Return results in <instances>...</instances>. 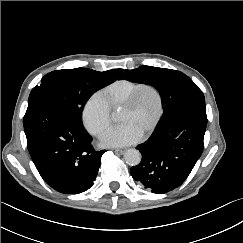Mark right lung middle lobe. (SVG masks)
<instances>
[{
	"label": "right lung middle lobe",
	"instance_id": "obj_1",
	"mask_svg": "<svg viewBox=\"0 0 243 243\" xmlns=\"http://www.w3.org/2000/svg\"><path fill=\"white\" fill-rule=\"evenodd\" d=\"M114 81L111 75L87 68L53 71L46 74L41 84L32 89L28 103H53L68 111L83 126L82 111L86 101L94 92Z\"/></svg>",
	"mask_w": 243,
	"mask_h": 243
}]
</instances>
